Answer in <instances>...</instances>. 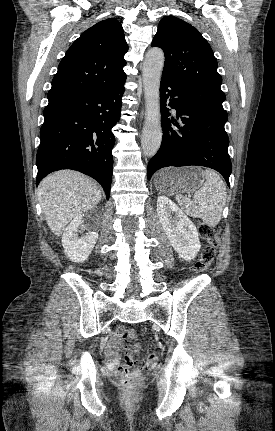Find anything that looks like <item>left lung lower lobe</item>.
<instances>
[{"instance_id": "1", "label": "left lung lower lobe", "mask_w": 275, "mask_h": 431, "mask_svg": "<svg viewBox=\"0 0 275 431\" xmlns=\"http://www.w3.org/2000/svg\"><path fill=\"white\" fill-rule=\"evenodd\" d=\"M160 97L163 139L148 164L147 178L163 167L198 165L221 173L229 186L232 165L224 129L228 116L203 107L166 76L161 78ZM168 101L177 112L176 118H168Z\"/></svg>"}]
</instances>
